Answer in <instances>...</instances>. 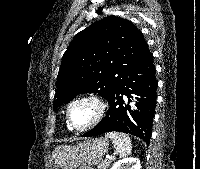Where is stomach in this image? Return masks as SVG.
<instances>
[{
    "mask_svg": "<svg viewBox=\"0 0 200 169\" xmlns=\"http://www.w3.org/2000/svg\"><path fill=\"white\" fill-rule=\"evenodd\" d=\"M109 147L106 138L85 140L74 146H60L52 153L55 167L60 169H76L79 166L98 164Z\"/></svg>",
    "mask_w": 200,
    "mask_h": 169,
    "instance_id": "1",
    "label": "stomach"
}]
</instances>
